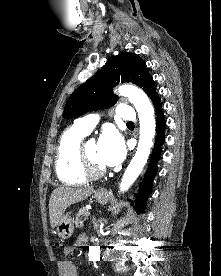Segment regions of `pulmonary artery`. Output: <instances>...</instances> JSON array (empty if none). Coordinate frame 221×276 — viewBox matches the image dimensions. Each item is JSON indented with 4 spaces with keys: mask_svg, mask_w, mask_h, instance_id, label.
I'll return each instance as SVG.
<instances>
[{
    "mask_svg": "<svg viewBox=\"0 0 221 276\" xmlns=\"http://www.w3.org/2000/svg\"><path fill=\"white\" fill-rule=\"evenodd\" d=\"M116 114L120 119L125 120L127 122H131L135 118V113L133 108L125 104H121L117 107ZM97 122H98L97 115H88L77 119L75 121L74 127H76L78 130L82 131L87 135L92 131V129L97 124Z\"/></svg>",
    "mask_w": 221,
    "mask_h": 276,
    "instance_id": "1",
    "label": "pulmonary artery"
}]
</instances>
